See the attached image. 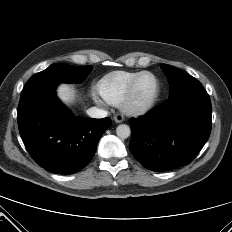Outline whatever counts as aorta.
<instances>
[{"instance_id":"1","label":"aorta","mask_w":232,"mask_h":232,"mask_svg":"<svg viewBox=\"0 0 232 232\" xmlns=\"http://www.w3.org/2000/svg\"><path fill=\"white\" fill-rule=\"evenodd\" d=\"M116 134L121 139H126L131 134V129L126 124H121L116 128Z\"/></svg>"}]
</instances>
